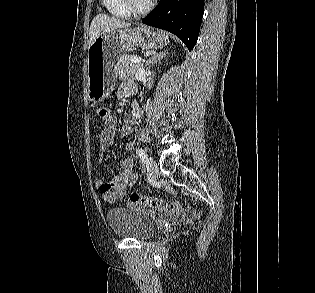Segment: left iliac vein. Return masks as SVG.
Segmentation results:
<instances>
[{
  "instance_id": "4c4485c4",
  "label": "left iliac vein",
  "mask_w": 315,
  "mask_h": 293,
  "mask_svg": "<svg viewBox=\"0 0 315 293\" xmlns=\"http://www.w3.org/2000/svg\"><path fill=\"white\" fill-rule=\"evenodd\" d=\"M148 169L153 177V179H157L158 177V173H159V167L157 165V163L155 162V160H153L152 158L148 159Z\"/></svg>"
}]
</instances>
